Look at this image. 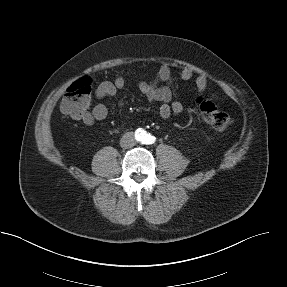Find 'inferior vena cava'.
I'll use <instances>...</instances> for the list:
<instances>
[{
	"instance_id": "inferior-vena-cava-1",
	"label": "inferior vena cava",
	"mask_w": 287,
	"mask_h": 287,
	"mask_svg": "<svg viewBox=\"0 0 287 287\" xmlns=\"http://www.w3.org/2000/svg\"><path fill=\"white\" fill-rule=\"evenodd\" d=\"M134 144V137L131 133H126L121 139V146L124 148L133 147Z\"/></svg>"
}]
</instances>
